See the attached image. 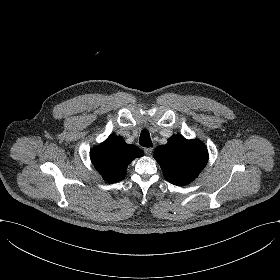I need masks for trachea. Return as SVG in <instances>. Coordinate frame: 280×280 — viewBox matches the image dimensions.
Here are the masks:
<instances>
[{"label": "trachea", "instance_id": "obj_1", "mask_svg": "<svg viewBox=\"0 0 280 280\" xmlns=\"http://www.w3.org/2000/svg\"><path fill=\"white\" fill-rule=\"evenodd\" d=\"M139 143L143 147H151L152 146V141L150 139V134L148 130L144 129L142 130L139 138Z\"/></svg>", "mask_w": 280, "mask_h": 280}]
</instances>
